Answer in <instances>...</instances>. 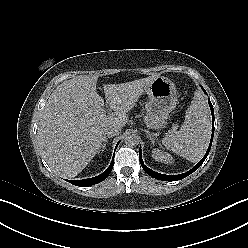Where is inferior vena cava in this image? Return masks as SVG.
<instances>
[{"instance_id": "1", "label": "inferior vena cava", "mask_w": 248, "mask_h": 248, "mask_svg": "<svg viewBox=\"0 0 248 248\" xmlns=\"http://www.w3.org/2000/svg\"><path fill=\"white\" fill-rule=\"evenodd\" d=\"M121 127L117 124H110L105 128V134L108 136H116L120 133Z\"/></svg>"}]
</instances>
